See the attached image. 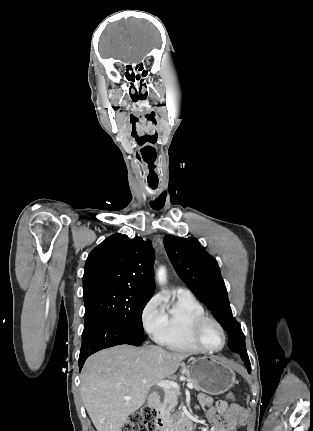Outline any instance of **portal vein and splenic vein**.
<instances>
[{"label":"portal vein and splenic vein","instance_id":"obj_1","mask_svg":"<svg viewBox=\"0 0 313 431\" xmlns=\"http://www.w3.org/2000/svg\"><path fill=\"white\" fill-rule=\"evenodd\" d=\"M157 386L161 387V388H164V389H175L177 391L180 390V386L176 382L170 381V380H162V381H160V382L157 383ZM187 387L189 389H192L193 388V384L192 383H188ZM125 399L129 400V399H131V397H125Z\"/></svg>","mask_w":313,"mask_h":431}]
</instances>
